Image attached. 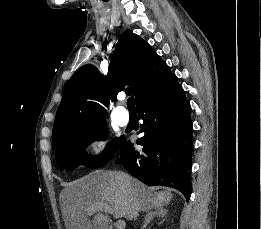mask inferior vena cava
<instances>
[{
  "mask_svg": "<svg viewBox=\"0 0 261 229\" xmlns=\"http://www.w3.org/2000/svg\"><path fill=\"white\" fill-rule=\"evenodd\" d=\"M124 177V181L127 185V189H128V193H131V199H132V203H131V215L132 217H134V219H137V217H139V209H138V203H137V195H135V193H132V189H130V179H128V177H126V175H123Z\"/></svg>",
  "mask_w": 261,
  "mask_h": 229,
  "instance_id": "602c4592",
  "label": "inferior vena cava"
}]
</instances>
